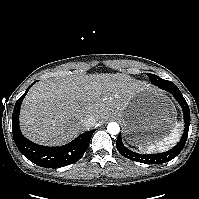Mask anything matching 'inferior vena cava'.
I'll return each instance as SVG.
<instances>
[{"mask_svg": "<svg viewBox=\"0 0 199 199\" xmlns=\"http://www.w3.org/2000/svg\"><path fill=\"white\" fill-rule=\"evenodd\" d=\"M82 123L87 127H93L96 124V119L92 115H86L82 120Z\"/></svg>", "mask_w": 199, "mask_h": 199, "instance_id": "602c4592", "label": "inferior vena cava"}]
</instances>
